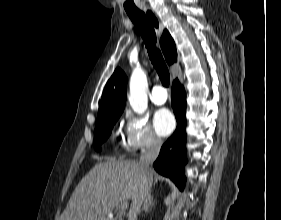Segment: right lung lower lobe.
Segmentation results:
<instances>
[{"mask_svg":"<svg viewBox=\"0 0 281 220\" xmlns=\"http://www.w3.org/2000/svg\"><path fill=\"white\" fill-rule=\"evenodd\" d=\"M171 102L177 120V128L162 146L153 166L158 173L169 177L179 188L183 189L186 180L184 165L187 162L185 147L186 93L178 80L173 83Z\"/></svg>","mask_w":281,"mask_h":220,"instance_id":"98d812e1","label":"right lung lower lobe"}]
</instances>
